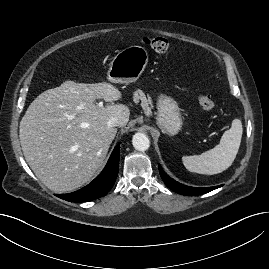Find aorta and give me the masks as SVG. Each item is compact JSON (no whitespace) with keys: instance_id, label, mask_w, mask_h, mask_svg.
Listing matches in <instances>:
<instances>
[{"instance_id":"762f6f07","label":"aorta","mask_w":269,"mask_h":269,"mask_svg":"<svg viewBox=\"0 0 269 269\" xmlns=\"http://www.w3.org/2000/svg\"><path fill=\"white\" fill-rule=\"evenodd\" d=\"M132 144L136 150L146 151L150 146V141L146 134L138 132L133 135Z\"/></svg>"}]
</instances>
